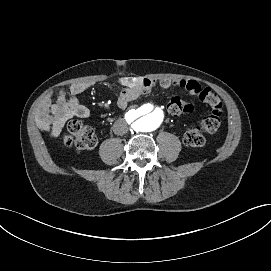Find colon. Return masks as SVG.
<instances>
[{
  "label": "colon",
  "instance_id": "1",
  "mask_svg": "<svg viewBox=\"0 0 271 271\" xmlns=\"http://www.w3.org/2000/svg\"><path fill=\"white\" fill-rule=\"evenodd\" d=\"M201 102L210 107V112L204 116L199 126L189 129L184 134V142L191 147H202L206 144V135L218 130L223 113V104L217 94L209 88H202L198 95ZM171 114H180L192 111V105L180 97H172L166 105ZM68 135L65 144L79 150H93L97 146V137L94 131L79 121L68 124Z\"/></svg>",
  "mask_w": 271,
  "mask_h": 271
}]
</instances>
